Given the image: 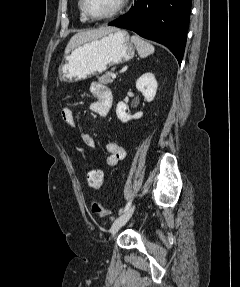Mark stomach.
<instances>
[{"label":"stomach","mask_w":240,"mask_h":287,"mask_svg":"<svg viewBox=\"0 0 240 287\" xmlns=\"http://www.w3.org/2000/svg\"><path fill=\"white\" fill-rule=\"evenodd\" d=\"M134 54L135 47L128 32L116 29L67 53L58 70L59 80L67 83L85 80L132 59Z\"/></svg>","instance_id":"0dacf381"}]
</instances>
